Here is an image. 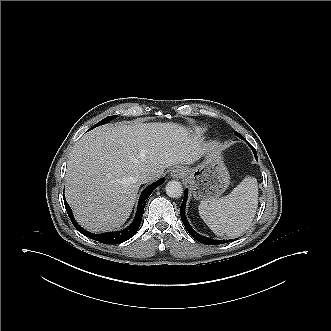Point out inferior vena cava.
<instances>
[{"instance_id": "602c4592", "label": "inferior vena cava", "mask_w": 331, "mask_h": 331, "mask_svg": "<svg viewBox=\"0 0 331 331\" xmlns=\"http://www.w3.org/2000/svg\"><path fill=\"white\" fill-rule=\"evenodd\" d=\"M159 177H160V175L158 173H154V172L146 173V174L139 177V182L141 184H144V183H148L150 181H153V180H155Z\"/></svg>"}]
</instances>
